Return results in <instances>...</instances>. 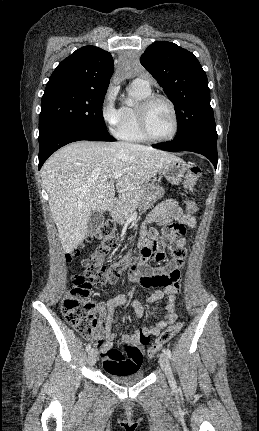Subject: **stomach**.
I'll list each match as a JSON object with an SVG mask.
<instances>
[{
    "label": "stomach",
    "mask_w": 259,
    "mask_h": 431,
    "mask_svg": "<svg viewBox=\"0 0 259 431\" xmlns=\"http://www.w3.org/2000/svg\"><path fill=\"white\" fill-rule=\"evenodd\" d=\"M188 168L189 165L179 158L178 160L166 164L162 168L161 174L171 184L178 185ZM142 189V198L138 204V207L141 209H148L154 202L162 198L164 195V188L159 184L147 183Z\"/></svg>",
    "instance_id": "obj_1"
}]
</instances>
